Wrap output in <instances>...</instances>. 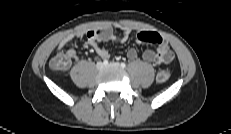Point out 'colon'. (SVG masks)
Returning <instances> with one entry per match:
<instances>
[{
  "mask_svg": "<svg viewBox=\"0 0 231 134\" xmlns=\"http://www.w3.org/2000/svg\"><path fill=\"white\" fill-rule=\"evenodd\" d=\"M71 60L66 55V53L60 52L57 53L51 60L50 66L54 70L63 71L66 70L70 66ZM171 74L167 69H162L157 73V81L166 82L169 80Z\"/></svg>",
  "mask_w": 231,
  "mask_h": 134,
  "instance_id": "5ec220e1",
  "label": "colon"
}]
</instances>
